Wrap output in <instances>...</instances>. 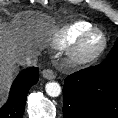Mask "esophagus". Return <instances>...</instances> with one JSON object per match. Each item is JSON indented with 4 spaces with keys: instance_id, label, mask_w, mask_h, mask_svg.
I'll use <instances>...</instances> for the list:
<instances>
[{
    "instance_id": "esophagus-1",
    "label": "esophagus",
    "mask_w": 118,
    "mask_h": 118,
    "mask_svg": "<svg viewBox=\"0 0 118 118\" xmlns=\"http://www.w3.org/2000/svg\"><path fill=\"white\" fill-rule=\"evenodd\" d=\"M42 75L45 79H48V80H53L55 79V73L53 70L51 69H45L43 72H42Z\"/></svg>"
}]
</instances>
